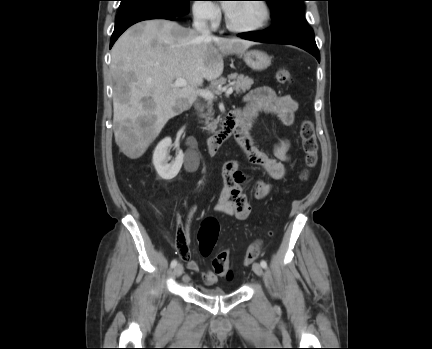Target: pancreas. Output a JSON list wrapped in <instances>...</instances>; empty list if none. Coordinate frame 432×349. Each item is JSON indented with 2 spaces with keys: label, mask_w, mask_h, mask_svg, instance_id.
I'll return each mask as SVG.
<instances>
[{
  "label": "pancreas",
  "mask_w": 432,
  "mask_h": 349,
  "mask_svg": "<svg viewBox=\"0 0 432 349\" xmlns=\"http://www.w3.org/2000/svg\"><path fill=\"white\" fill-rule=\"evenodd\" d=\"M228 80L230 83L233 84V88L236 92V94L244 93L247 90H249L254 83L253 79L244 76V75H238L237 73H233L228 76ZM208 112L203 116L205 118V129L210 132H215L217 128V124L219 120L213 119V109H212V102L209 101L207 103Z\"/></svg>",
  "instance_id": "1"
}]
</instances>
